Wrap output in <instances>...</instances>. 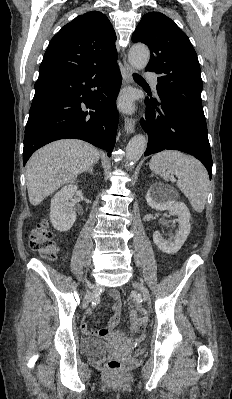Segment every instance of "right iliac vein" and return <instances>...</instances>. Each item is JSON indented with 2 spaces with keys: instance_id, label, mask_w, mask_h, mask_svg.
Here are the masks:
<instances>
[{
  "instance_id": "obj_1",
  "label": "right iliac vein",
  "mask_w": 232,
  "mask_h": 399,
  "mask_svg": "<svg viewBox=\"0 0 232 399\" xmlns=\"http://www.w3.org/2000/svg\"><path fill=\"white\" fill-rule=\"evenodd\" d=\"M92 299V293L91 291H88L87 295L85 296L84 300H82L81 306L83 310L87 309V306L89 305V301Z\"/></svg>"
}]
</instances>
